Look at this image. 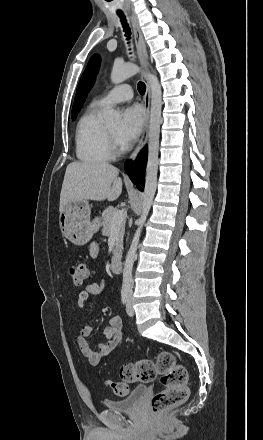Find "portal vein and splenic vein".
Here are the masks:
<instances>
[{"instance_id": "18ae733b", "label": "portal vein and splenic vein", "mask_w": 263, "mask_h": 440, "mask_svg": "<svg viewBox=\"0 0 263 440\" xmlns=\"http://www.w3.org/2000/svg\"><path fill=\"white\" fill-rule=\"evenodd\" d=\"M124 216H125L124 211H121V210L117 211L114 214L111 228L114 229V228L118 227L120 225V223L122 222V220L124 219Z\"/></svg>"}]
</instances>
